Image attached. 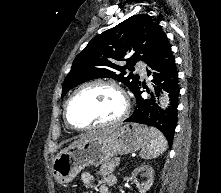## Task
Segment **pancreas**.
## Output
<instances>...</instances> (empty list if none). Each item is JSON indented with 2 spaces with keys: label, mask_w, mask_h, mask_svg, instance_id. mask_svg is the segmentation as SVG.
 I'll list each match as a JSON object with an SVG mask.
<instances>
[{
  "label": "pancreas",
  "mask_w": 221,
  "mask_h": 193,
  "mask_svg": "<svg viewBox=\"0 0 221 193\" xmlns=\"http://www.w3.org/2000/svg\"><path fill=\"white\" fill-rule=\"evenodd\" d=\"M116 162V159L106 161L101 165L100 170L97 172V174L101 176H107L109 174H112V172L115 170Z\"/></svg>",
  "instance_id": "obj_1"
}]
</instances>
